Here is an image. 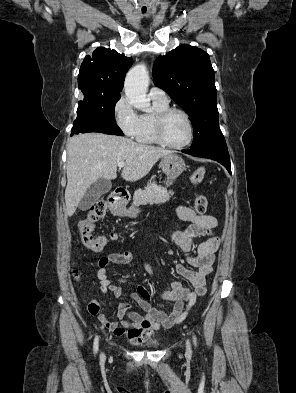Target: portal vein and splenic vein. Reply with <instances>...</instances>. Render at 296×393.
I'll return each instance as SVG.
<instances>
[{
  "label": "portal vein and splenic vein",
  "mask_w": 296,
  "mask_h": 393,
  "mask_svg": "<svg viewBox=\"0 0 296 393\" xmlns=\"http://www.w3.org/2000/svg\"><path fill=\"white\" fill-rule=\"evenodd\" d=\"M124 166H125V162L124 161H121V162L118 163V167L119 168H123Z\"/></svg>",
  "instance_id": "obj_1"
}]
</instances>
